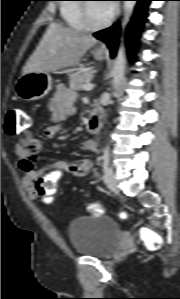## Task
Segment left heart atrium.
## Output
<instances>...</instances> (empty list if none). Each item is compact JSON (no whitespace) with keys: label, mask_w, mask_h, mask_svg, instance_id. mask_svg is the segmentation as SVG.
I'll use <instances>...</instances> for the list:
<instances>
[{"label":"left heart atrium","mask_w":180,"mask_h":299,"mask_svg":"<svg viewBox=\"0 0 180 299\" xmlns=\"http://www.w3.org/2000/svg\"><path fill=\"white\" fill-rule=\"evenodd\" d=\"M109 3L105 4L107 10L109 11V13H112L114 10V4L112 3L113 1H108Z\"/></svg>","instance_id":"1"}]
</instances>
